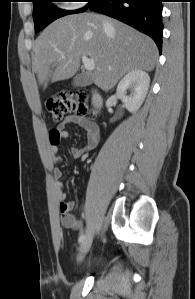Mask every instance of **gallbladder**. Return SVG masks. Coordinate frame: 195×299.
Wrapping results in <instances>:
<instances>
[{
  "mask_svg": "<svg viewBox=\"0 0 195 299\" xmlns=\"http://www.w3.org/2000/svg\"><path fill=\"white\" fill-rule=\"evenodd\" d=\"M73 85L75 87H83L87 86L91 83V78L85 74H77L73 79Z\"/></svg>",
  "mask_w": 195,
  "mask_h": 299,
  "instance_id": "gallbladder-1",
  "label": "gallbladder"
}]
</instances>
